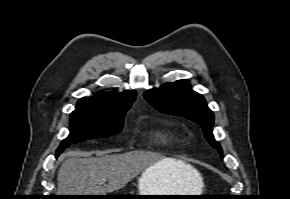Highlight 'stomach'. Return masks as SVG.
<instances>
[{
  "label": "stomach",
  "instance_id": "0dacf381",
  "mask_svg": "<svg viewBox=\"0 0 290 199\" xmlns=\"http://www.w3.org/2000/svg\"><path fill=\"white\" fill-rule=\"evenodd\" d=\"M157 173L155 174V172ZM198 181L200 184L196 186L195 193L198 192L202 186L201 176L195 178L194 183ZM174 176L158 170L157 165H153L144 170L139 177V194L138 195H198V194H176L173 193ZM153 199H191V197H143Z\"/></svg>",
  "mask_w": 290,
  "mask_h": 199
}]
</instances>
